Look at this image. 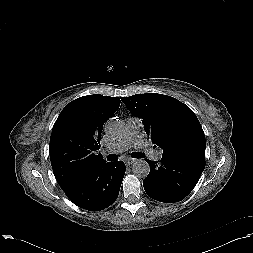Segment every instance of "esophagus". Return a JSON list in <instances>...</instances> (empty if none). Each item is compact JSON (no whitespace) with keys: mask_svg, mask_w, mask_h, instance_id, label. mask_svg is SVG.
<instances>
[{"mask_svg":"<svg viewBox=\"0 0 253 253\" xmlns=\"http://www.w3.org/2000/svg\"><path fill=\"white\" fill-rule=\"evenodd\" d=\"M135 162V159L133 158H128L126 159L125 163L127 166H130L131 164H133Z\"/></svg>","mask_w":253,"mask_h":253,"instance_id":"esophagus-1","label":"esophagus"}]
</instances>
